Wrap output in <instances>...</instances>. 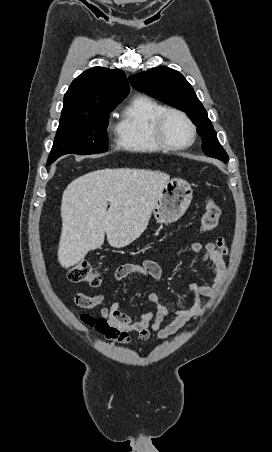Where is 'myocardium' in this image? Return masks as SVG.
<instances>
[{
  "label": "myocardium",
  "mask_w": 272,
  "mask_h": 452,
  "mask_svg": "<svg viewBox=\"0 0 272 452\" xmlns=\"http://www.w3.org/2000/svg\"><path fill=\"white\" fill-rule=\"evenodd\" d=\"M173 113L184 119L190 130V139L186 143L174 144L168 140L164 131V121L168 114ZM153 131L157 141L168 150H182L190 147L197 134V129L191 118L183 110L175 107H164L155 117L153 122Z\"/></svg>",
  "instance_id": "obj_1"
}]
</instances>
